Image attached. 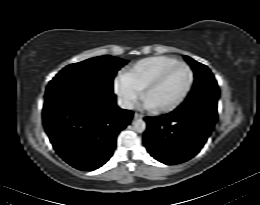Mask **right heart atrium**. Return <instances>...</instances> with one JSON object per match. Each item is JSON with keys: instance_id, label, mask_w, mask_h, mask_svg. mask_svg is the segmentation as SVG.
<instances>
[{"instance_id": "1", "label": "right heart atrium", "mask_w": 260, "mask_h": 205, "mask_svg": "<svg viewBox=\"0 0 260 205\" xmlns=\"http://www.w3.org/2000/svg\"><path fill=\"white\" fill-rule=\"evenodd\" d=\"M115 91L122 99L127 108H132L141 97V90L128 83L123 75H120L115 81Z\"/></svg>"}]
</instances>
